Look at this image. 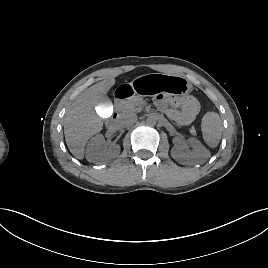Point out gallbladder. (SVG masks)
Segmentation results:
<instances>
[{
	"instance_id": "1",
	"label": "gallbladder",
	"mask_w": 268,
	"mask_h": 268,
	"mask_svg": "<svg viewBox=\"0 0 268 268\" xmlns=\"http://www.w3.org/2000/svg\"><path fill=\"white\" fill-rule=\"evenodd\" d=\"M96 112L100 117H110L114 113V108L111 105V101L107 97H103L97 100L95 106Z\"/></svg>"
}]
</instances>
